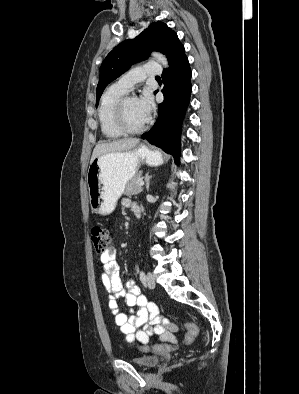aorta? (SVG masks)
<instances>
[{
	"instance_id": "obj_1",
	"label": "aorta",
	"mask_w": 299,
	"mask_h": 394,
	"mask_svg": "<svg viewBox=\"0 0 299 394\" xmlns=\"http://www.w3.org/2000/svg\"><path fill=\"white\" fill-rule=\"evenodd\" d=\"M154 58L157 59L158 62H160L164 67H168V61L167 58L161 54V53H153L152 54Z\"/></svg>"
}]
</instances>
